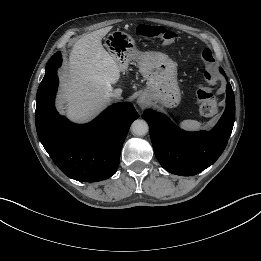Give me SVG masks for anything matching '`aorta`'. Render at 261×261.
Wrapping results in <instances>:
<instances>
[{
    "mask_svg": "<svg viewBox=\"0 0 261 261\" xmlns=\"http://www.w3.org/2000/svg\"><path fill=\"white\" fill-rule=\"evenodd\" d=\"M149 130L148 124L145 120L137 119L131 125V131L136 136H144Z\"/></svg>",
    "mask_w": 261,
    "mask_h": 261,
    "instance_id": "1",
    "label": "aorta"
}]
</instances>
